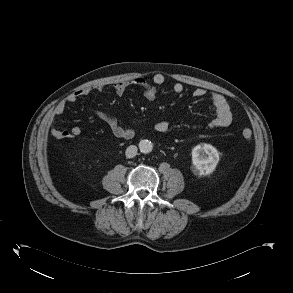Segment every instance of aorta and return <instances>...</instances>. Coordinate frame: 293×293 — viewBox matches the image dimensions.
I'll use <instances>...</instances> for the list:
<instances>
[{"label": "aorta", "instance_id": "1", "mask_svg": "<svg viewBox=\"0 0 293 293\" xmlns=\"http://www.w3.org/2000/svg\"><path fill=\"white\" fill-rule=\"evenodd\" d=\"M139 149L144 154L150 153L153 149V144L149 140H141L139 142Z\"/></svg>", "mask_w": 293, "mask_h": 293}]
</instances>
